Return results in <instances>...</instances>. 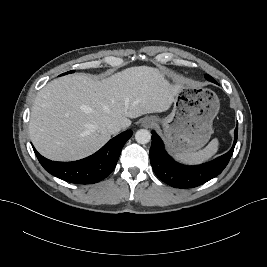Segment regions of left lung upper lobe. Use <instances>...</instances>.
Listing matches in <instances>:
<instances>
[{"label":"left lung upper lobe","mask_w":267,"mask_h":267,"mask_svg":"<svg viewBox=\"0 0 267 267\" xmlns=\"http://www.w3.org/2000/svg\"><path fill=\"white\" fill-rule=\"evenodd\" d=\"M205 78L207 79V80H209V81H211L213 78L211 77V76H209V75H205ZM214 80V79H213ZM215 81V80H214ZM212 82V81H211ZM214 83H216V81L214 82Z\"/></svg>","instance_id":"1"}]
</instances>
